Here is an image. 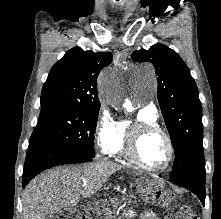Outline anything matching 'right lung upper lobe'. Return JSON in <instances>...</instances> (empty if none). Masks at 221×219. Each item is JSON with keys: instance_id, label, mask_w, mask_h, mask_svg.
I'll list each match as a JSON object with an SVG mask.
<instances>
[{"instance_id": "1", "label": "right lung upper lobe", "mask_w": 221, "mask_h": 219, "mask_svg": "<svg viewBox=\"0 0 221 219\" xmlns=\"http://www.w3.org/2000/svg\"><path fill=\"white\" fill-rule=\"evenodd\" d=\"M111 61L109 52L94 53L80 47L70 49L52 67L42 88L41 105L100 106L96 79Z\"/></svg>"}]
</instances>
